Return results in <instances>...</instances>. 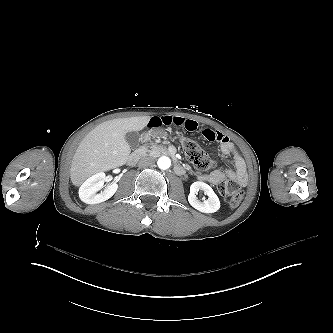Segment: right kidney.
Here are the masks:
<instances>
[{"label":"right kidney","mask_w":333,"mask_h":333,"mask_svg":"<svg viewBox=\"0 0 333 333\" xmlns=\"http://www.w3.org/2000/svg\"><path fill=\"white\" fill-rule=\"evenodd\" d=\"M106 175L100 172L87 179L79 190V197L82 202L93 205L110 199L118 190L117 183H111L104 188Z\"/></svg>","instance_id":"right-kidney-1"}]
</instances>
